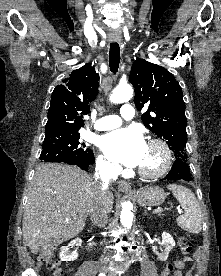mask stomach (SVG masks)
Instances as JSON below:
<instances>
[{
    "label": "stomach",
    "mask_w": 221,
    "mask_h": 276,
    "mask_svg": "<svg viewBox=\"0 0 221 276\" xmlns=\"http://www.w3.org/2000/svg\"><path fill=\"white\" fill-rule=\"evenodd\" d=\"M165 198L166 193L158 186L146 187L135 194L136 201L142 206L161 205Z\"/></svg>",
    "instance_id": "0dacf381"
}]
</instances>
